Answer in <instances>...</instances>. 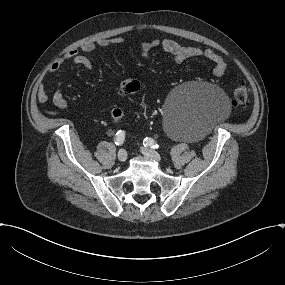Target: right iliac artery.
Instances as JSON below:
<instances>
[{
	"mask_svg": "<svg viewBox=\"0 0 285 285\" xmlns=\"http://www.w3.org/2000/svg\"><path fill=\"white\" fill-rule=\"evenodd\" d=\"M124 140H125V132L119 130V131L116 133L114 142H115L116 145L119 146V145H122V144L124 143Z\"/></svg>",
	"mask_w": 285,
	"mask_h": 285,
	"instance_id": "82829eb1",
	"label": "right iliac artery"
}]
</instances>
